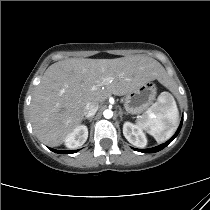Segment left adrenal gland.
Segmentation results:
<instances>
[{
	"mask_svg": "<svg viewBox=\"0 0 210 210\" xmlns=\"http://www.w3.org/2000/svg\"><path fill=\"white\" fill-rule=\"evenodd\" d=\"M122 115H123L122 109L119 108V116H120L121 120H122Z\"/></svg>",
	"mask_w": 210,
	"mask_h": 210,
	"instance_id": "obj_1",
	"label": "left adrenal gland"
}]
</instances>
